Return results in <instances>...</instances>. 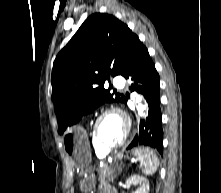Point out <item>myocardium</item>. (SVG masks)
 <instances>
[{
    "mask_svg": "<svg viewBox=\"0 0 221 193\" xmlns=\"http://www.w3.org/2000/svg\"><path fill=\"white\" fill-rule=\"evenodd\" d=\"M110 113L118 114L124 120L125 125H126L125 131H124V134H123L121 140L114 145H109V144L104 143L98 135V124H99L100 120L105 115L110 114ZM130 130H131V122H130L128 115L120 108L111 106V107H107V108L103 109L96 117V119L93 123V126H92V139L100 148H102L103 150L108 152L110 150L117 149V148L121 147L126 142L128 136H129Z\"/></svg>",
    "mask_w": 221,
    "mask_h": 193,
    "instance_id": "1",
    "label": "myocardium"
}]
</instances>
